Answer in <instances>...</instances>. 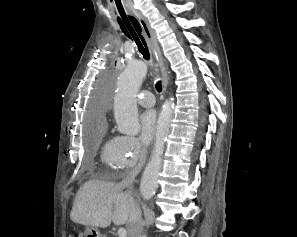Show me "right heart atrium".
I'll list each match as a JSON object with an SVG mask.
<instances>
[{
  "mask_svg": "<svg viewBox=\"0 0 297 237\" xmlns=\"http://www.w3.org/2000/svg\"><path fill=\"white\" fill-rule=\"evenodd\" d=\"M146 153L145 146L135 137H118L117 160L119 169H132L137 167Z\"/></svg>",
  "mask_w": 297,
  "mask_h": 237,
  "instance_id": "right-heart-atrium-1",
  "label": "right heart atrium"
}]
</instances>
